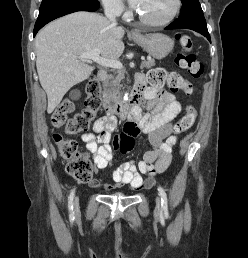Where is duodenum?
<instances>
[{
	"label": "duodenum",
	"mask_w": 248,
	"mask_h": 258,
	"mask_svg": "<svg viewBox=\"0 0 248 258\" xmlns=\"http://www.w3.org/2000/svg\"><path fill=\"white\" fill-rule=\"evenodd\" d=\"M97 79L103 83L107 79V72L99 70L97 72ZM144 84L140 79L136 80L135 86L129 97V102L126 104L122 100L112 99L105 93L102 94V106L105 112L109 115L112 113L117 114L121 119L128 120L140 107V100L142 98ZM128 105V106H126Z\"/></svg>",
	"instance_id": "410a0bca"
}]
</instances>
